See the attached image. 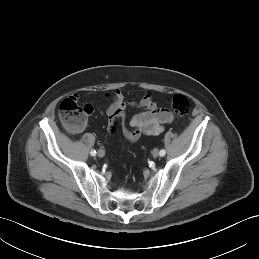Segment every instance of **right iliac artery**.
Masks as SVG:
<instances>
[{
  "instance_id": "82829eb1",
  "label": "right iliac artery",
  "mask_w": 259,
  "mask_h": 259,
  "mask_svg": "<svg viewBox=\"0 0 259 259\" xmlns=\"http://www.w3.org/2000/svg\"><path fill=\"white\" fill-rule=\"evenodd\" d=\"M90 154H91L92 156H95V155H96V151H95V150H91Z\"/></svg>"
}]
</instances>
